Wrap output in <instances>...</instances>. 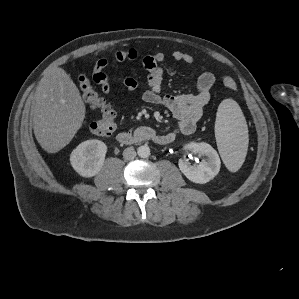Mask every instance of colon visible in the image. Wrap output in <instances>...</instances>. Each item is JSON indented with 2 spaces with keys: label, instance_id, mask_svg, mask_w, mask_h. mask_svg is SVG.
I'll return each mask as SVG.
<instances>
[{
  "label": "colon",
  "instance_id": "1",
  "mask_svg": "<svg viewBox=\"0 0 299 299\" xmlns=\"http://www.w3.org/2000/svg\"><path fill=\"white\" fill-rule=\"evenodd\" d=\"M223 84L228 90L237 91V84L232 77L224 76ZM79 88L83 100L98 113V118L90 126L92 133L98 136L111 135L116 128V112L113 107L99 96L86 75L79 77Z\"/></svg>",
  "mask_w": 299,
  "mask_h": 299
}]
</instances>
